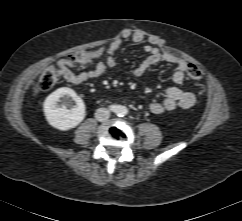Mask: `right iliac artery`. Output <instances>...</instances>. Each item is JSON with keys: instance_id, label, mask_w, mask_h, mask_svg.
Returning <instances> with one entry per match:
<instances>
[{"instance_id": "right-iliac-artery-1", "label": "right iliac artery", "mask_w": 242, "mask_h": 221, "mask_svg": "<svg viewBox=\"0 0 242 221\" xmlns=\"http://www.w3.org/2000/svg\"><path fill=\"white\" fill-rule=\"evenodd\" d=\"M118 108H119V107L116 106V105H111V106H110V110L113 111V112H116V111L118 110Z\"/></svg>"}]
</instances>
